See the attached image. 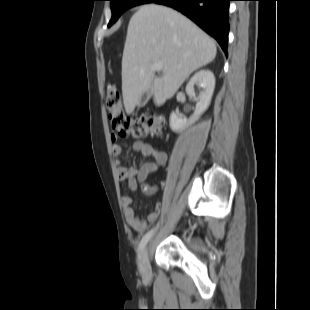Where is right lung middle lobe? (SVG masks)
<instances>
[{
  "label": "right lung middle lobe",
  "instance_id": "obj_1",
  "mask_svg": "<svg viewBox=\"0 0 310 310\" xmlns=\"http://www.w3.org/2000/svg\"><path fill=\"white\" fill-rule=\"evenodd\" d=\"M109 1L111 3L112 18L108 24V27H110L125 10L133 6L149 3L151 0H109Z\"/></svg>",
  "mask_w": 310,
  "mask_h": 310
}]
</instances>
